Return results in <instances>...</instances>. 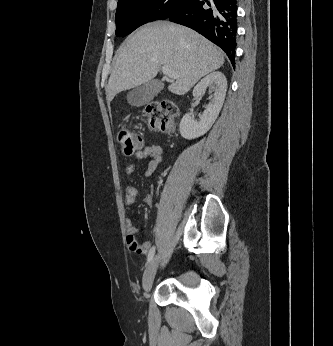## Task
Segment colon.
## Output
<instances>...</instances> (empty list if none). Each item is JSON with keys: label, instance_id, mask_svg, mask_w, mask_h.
<instances>
[{"label": "colon", "instance_id": "5ec220e1", "mask_svg": "<svg viewBox=\"0 0 333 346\" xmlns=\"http://www.w3.org/2000/svg\"><path fill=\"white\" fill-rule=\"evenodd\" d=\"M178 112V108L173 101L163 100L149 104L145 108V116L149 128L170 132L174 127L173 119ZM117 141L125 155H132L143 147V138L139 133L129 129H121L117 134Z\"/></svg>", "mask_w": 333, "mask_h": 346}]
</instances>
